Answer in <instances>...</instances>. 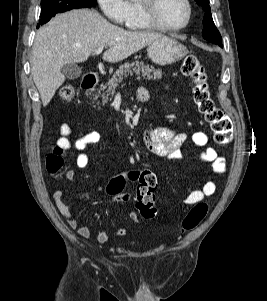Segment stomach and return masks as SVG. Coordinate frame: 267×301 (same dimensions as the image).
Wrapping results in <instances>:
<instances>
[{"instance_id":"obj_1","label":"stomach","mask_w":267,"mask_h":301,"mask_svg":"<svg viewBox=\"0 0 267 301\" xmlns=\"http://www.w3.org/2000/svg\"><path fill=\"white\" fill-rule=\"evenodd\" d=\"M148 57L158 65L173 64L188 54L187 48L170 37H161L147 48Z\"/></svg>"}]
</instances>
